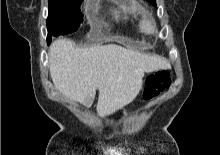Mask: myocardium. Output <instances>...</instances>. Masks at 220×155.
<instances>
[{"label":"myocardium","mask_w":220,"mask_h":155,"mask_svg":"<svg viewBox=\"0 0 220 155\" xmlns=\"http://www.w3.org/2000/svg\"><path fill=\"white\" fill-rule=\"evenodd\" d=\"M140 30L147 35L157 32L158 26L155 19L150 14L143 15L138 22Z\"/></svg>","instance_id":"1"}]
</instances>
